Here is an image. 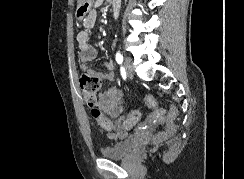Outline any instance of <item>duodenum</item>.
<instances>
[{
    "label": "duodenum",
    "instance_id": "410a0bca",
    "mask_svg": "<svg viewBox=\"0 0 244 179\" xmlns=\"http://www.w3.org/2000/svg\"><path fill=\"white\" fill-rule=\"evenodd\" d=\"M118 8L117 7H115L114 9L112 8V13L114 14V15H117L118 14Z\"/></svg>",
    "mask_w": 244,
    "mask_h": 179
}]
</instances>
